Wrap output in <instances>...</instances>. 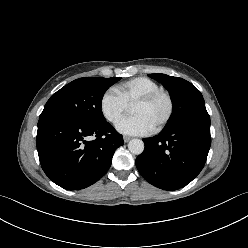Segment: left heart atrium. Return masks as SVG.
<instances>
[{
	"instance_id": "1",
	"label": "left heart atrium",
	"mask_w": 248,
	"mask_h": 248,
	"mask_svg": "<svg viewBox=\"0 0 248 248\" xmlns=\"http://www.w3.org/2000/svg\"><path fill=\"white\" fill-rule=\"evenodd\" d=\"M116 128L125 135H147L153 130L150 123L140 115L122 119L118 122Z\"/></svg>"
}]
</instances>
